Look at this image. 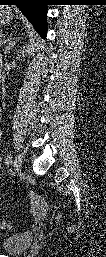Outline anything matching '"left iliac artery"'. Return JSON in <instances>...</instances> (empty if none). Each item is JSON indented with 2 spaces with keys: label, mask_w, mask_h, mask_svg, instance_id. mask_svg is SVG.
<instances>
[{
  "label": "left iliac artery",
  "mask_w": 106,
  "mask_h": 257,
  "mask_svg": "<svg viewBox=\"0 0 106 257\" xmlns=\"http://www.w3.org/2000/svg\"><path fill=\"white\" fill-rule=\"evenodd\" d=\"M11 162H12V155L9 154V155L7 156V158H6V165L9 166Z\"/></svg>",
  "instance_id": "44dca946"
}]
</instances>
